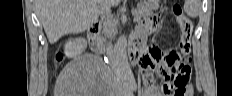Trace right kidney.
Listing matches in <instances>:
<instances>
[{"mask_svg": "<svg viewBox=\"0 0 232 96\" xmlns=\"http://www.w3.org/2000/svg\"><path fill=\"white\" fill-rule=\"evenodd\" d=\"M87 46V41L83 38H76L67 42L65 53L69 57H76L81 54Z\"/></svg>", "mask_w": 232, "mask_h": 96, "instance_id": "right-kidney-1", "label": "right kidney"}]
</instances>
